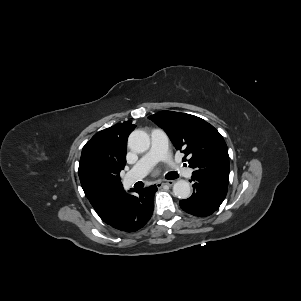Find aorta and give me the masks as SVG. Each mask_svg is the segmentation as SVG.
<instances>
[{
	"mask_svg": "<svg viewBox=\"0 0 301 301\" xmlns=\"http://www.w3.org/2000/svg\"><path fill=\"white\" fill-rule=\"evenodd\" d=\"M130 149L136 153H143L150 147V137L142 130H134L128 139ZM173 193L179 199H187L191 196V188L187 181L179 180L173 186Z\"/></svg>",
	"mask_w": 301,
	"mask_h": 301,
	"instance_id": "1",
	"label": "aorta"
}]
</instances>
